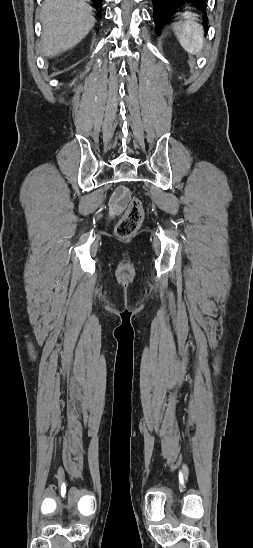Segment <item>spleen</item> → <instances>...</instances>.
<instances>
[{
	"instance_id": "3e777b00",
	"label": "spleen",
	"mask_w": 253,
	"mask_h": 548,
	"mask_svg": "<svg viewBox=\"0 0 253 548\" xmlns=\"http://www.w3.org/2000/svg\"><path fill=\"white\" fill-rule=\"evenodd\" d=\"M183 16L185 21H179L173 25L175 35L185 51L192 55H198L204 43L203 26L196 22L194 13L185 12Z\"/></svg>"
}]
</instances>
